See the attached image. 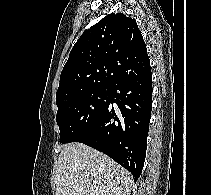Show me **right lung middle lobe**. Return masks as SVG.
<instances>
[{
  "label": "right lung middle lobe",
  "mask_w": 211,
  "mask_h": 195,
  "mask_svg": "<svg viewBox=\"0 0 211 195\" xmlns=\"http://www.w3.org/2000/svg\"><path fill=\"white\" fill-rule=\"evenodd\" d=\"M111 89H95L80 93L57 105L56 121L60 143H70L81 136L109 104Z\"/></svg>",
  "instance_id": "dd1d6c3e"
}]
</instances>
